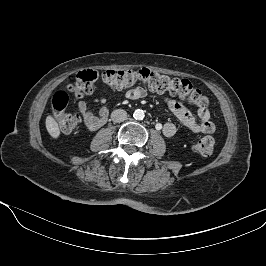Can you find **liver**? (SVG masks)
Returning <instances> with one entry per match:
<instances>
[{"label": "liver", "instance_id": "1", "mask_svg": "<svg viewBox=\"0 0 266 266\" xmlns=\"http://www.w3.org/2000/svg\"><path fill=\"white\" fill-rule=\"evenodd\" d=\"M45 124H46V129L51 137L56 139L60 136V129L58 123L51 115H48L46 117Z\"/></svg>", "mask_w": 266, "mask_h": 266}]
</instances>
